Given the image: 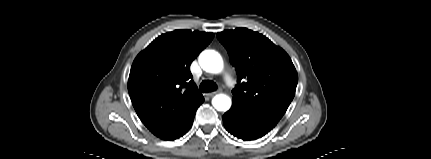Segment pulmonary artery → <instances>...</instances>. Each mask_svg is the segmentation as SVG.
Returning a JSON list of instances; mask_svg holds the SVG:
<instances>
[{"mask_svg":"<svg viewBox=\"0 0 431 159\" xmlns=\"http://www.w3.org/2000/svg\"><path fill=\"white\" fill-rule=\"evenodd\" d=\"M224 81L226 82V84L228 85V86H233L234 85V79H233V77H232V75L229 73V72H226L225 74H224Z\"/></svg>","mask_w":431,"mask_h":159,"instance_id":"e3ab8cb5","label":"pulmonary artery"}]
</instances>
